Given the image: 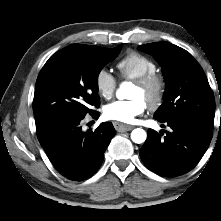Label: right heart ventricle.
<instances>
[{
	"label": "right heart ventricle",
	"instance_id": "e07e8e85",
	"mask_svg": "<svg viewBox=\"0 0 221 221\" xmlns=\"http://www.w3.org/2000/svg\"><path fill=\"white\" fill-rule=\"evenodd\" d=\"M119 76L124 80H134L141 76L157 71V64L149 57L138 53L130 52L118 63Z\"/></svg>",
	"mask_w": 221,
	"mask_h": 221
}]
</instances>
